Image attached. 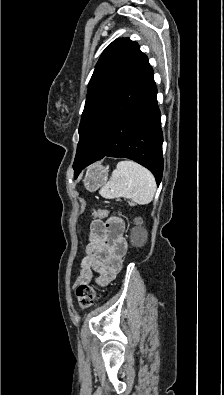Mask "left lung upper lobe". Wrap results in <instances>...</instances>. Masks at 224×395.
Masks as SVG:
<instances>
[{
	"label": "left lung upper lobe",
	"mask_w": 224,
	"mask_h": 395,
	"mask_svg": "<svg viewBox=\"0 0 224 395\" xmlns=\"http://www.w3.org/2000/svg\"><path fill=\"white\" fill-rule=\"evenodd\" d=\"M147 62L148 58L140 51L138 44L129 38L116 39L104 50L89 82L74 164L82 158L100 112Z\"/></svg>",
	"instance_id": "left-lung-upper-lobe-1"
}]
</instances>
